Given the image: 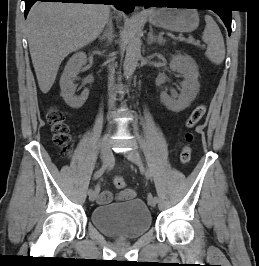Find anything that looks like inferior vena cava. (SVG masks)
Instances as JSON below:
<instances>
[{
	"label": "inferior vena cava",
	"instance_id": "obj_1",
	"mask_svg": "<svg viewBox=\"0 0 259 266\" xmlns=\"http://www.w3.org/2000/svg\"><path fill=\"white\" fill-rule=\"evenodd\" d=\"M109 88L113 85L114 82V67L113 66H109ZM115 95L114 94H110V99H109V108H112L114 106V102H115Z\"/></svg>",
	"mask_w": 259,
	"mask_h": 266
}]
</instances>
